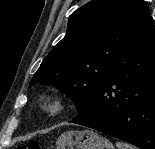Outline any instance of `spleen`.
Segmentation results:
<instances>
[{"mask_svg": "<svg viewBox=\"0 0 155 149\" xmlns=\"http://www.w3.org/2000/svg\"><path fill=\"white\" fill-rule=\"evenodd\" d=\"M116 146L118 149H135L133 146H131L130 144L127 143H123V142H117Z\"/></svg>", "mask_w": 155, "mask_h": 149, "instance_id": "1", "label": "spleen"}]
</instances>
